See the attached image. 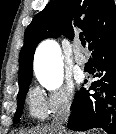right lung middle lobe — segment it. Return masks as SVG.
Wrapping results in <instances>:
<instances>
[{"label": "right lung middle lobe", "instance_id": "1", "mask_svg": "<svg viewBox=\"0 0 116 134\" xmlns=\"http://www.w3.org/2000/svg\"><path fill=\"white\" fill-rule=\"evenodd\" d=\"M29 85H30V82L26 83L22 87L20 93H18L17 110H16V113L14 114V119H13L15 124L19 122V119L21 117V113L23 111V105H24V101H25V96L28 91Z\"/></svg>", "mask_w": 116, "mask_h": 134}]
</instances>
